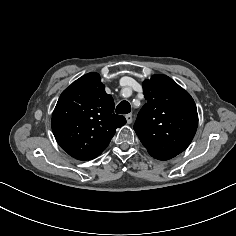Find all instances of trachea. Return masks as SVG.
Listing matches in <instances>:
<instances>
[{"instance_id":"trachea-1","label":"trachea","mask_w":236,"mask_h":236,"mask_svg":"<svg viewBox=\"0 0 236 236\" xmlns=\"http://www.w3.org/2000/svg\"><path fill=\"white\" fill-rule=\"evenodd\" d=\"M130 111H131V106L128 101H122L116 107L117 114H127Z\"/></svg>"}]
</instances>
